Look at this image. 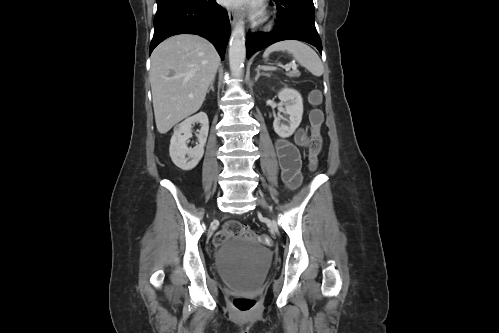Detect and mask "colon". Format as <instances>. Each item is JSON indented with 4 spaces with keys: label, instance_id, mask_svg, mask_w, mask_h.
Masks as SVG:
<instances>
[{
    "label": "colon",
    "instance_id": "obj_1",
    "mask_svg": "<svg viewBox=\"0 0 499 333\" xmlns=\"http://www.w3.org/2000/svg\"><path fill=\"white\" fill-rule=\"evenodd\" d=\"M309 101L314 108L311 110L309 115L311 137L308 150V163L309 168L312 171H315L318 168L319 155L322 149L321 126L324 116L321 109L318 108L322 101L321 93L318 90L312 91L309 95ZM231 237H244L265 245L272 244V239L268 235L256 234L249 226L236 221L226 223L223 229L215 234L213 243L216 247H219ZM232 304L237 311L241 313H248L255 307L256 299L251 296L237 295L233 297Z\"/></svg>",
    "mask_w": 499,
    "mask_h": 333
}]
</instances>
